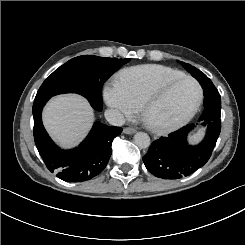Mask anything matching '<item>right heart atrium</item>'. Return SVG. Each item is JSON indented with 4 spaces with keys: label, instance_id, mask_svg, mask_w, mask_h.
Returning a JSON list of instances; mask_svg holds the SVG:
<instances>
[{
    "label": "right heart atrium",
    "instance_id": "1",
    "mask_svg": "<svg viewBox=\"0 0 245 245\" xmlns=\"http://www.w3.org/2000/svg\"><path fill=\"white\" fill-rule=\"evenodd\" d=\"M105 99L107 104L112 107L121 117L126 119L133 117L135 113V106L119 89L108 87L105 91Z\"/></svg>",
    "mask_w": 245,
    "mask_h": 245
}]
</instances>
